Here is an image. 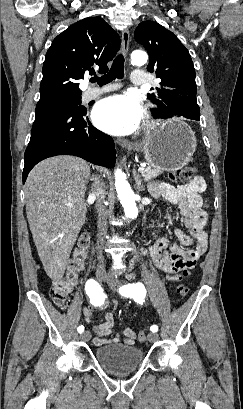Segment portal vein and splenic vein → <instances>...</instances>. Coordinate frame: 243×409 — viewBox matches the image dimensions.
<instances>
[{"mask_svg":"<svg viewBox=\"0 0 243 409\" xmlns=\"http://www.w3.org/2000/svg\"><path fill=\"white\" fill-rule=\"evenodd\" d=\"M138 171H139L140 173H143V172H144V168H143V167H140V168L138 169Z\"/></svg>","mask_w":243,"mask_h":409,"instance_id":"portal-vein-and-splenic-vein-1","label":"portal vein and splenic vein"}]
</instances>
